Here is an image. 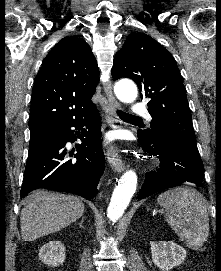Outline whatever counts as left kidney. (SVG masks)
Wrapping results in <instances>:
<instances>
[{
	"mask_svg": "<svg viewBox=\"0 0 221 271\" xmlns=\"http://www.w3.org/2000/svg\"><path fill=\"white\" fill-rule=\"evenodd\" d=\"M152 261L161 271H169L185 261L186 249L174 241H150Z\"/></svg>",
	"mask_w": 221,
	"mask_h": 271,
	"instance_id": "5707ae66",
	"label": "left kidney"
}]
</instances>
